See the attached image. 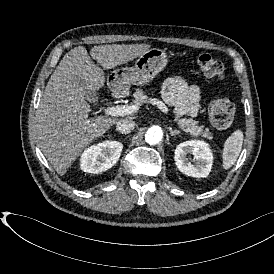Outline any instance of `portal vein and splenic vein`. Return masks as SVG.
<instances>
[{
	"label": "portal vein and splenic vein",
	"mask_w": 274,
	"mask_h": 274,
	"mask_svg": "<svg viewBox=\"0 0 274 274\" xmlns=\"http://www.w3.org/2000/svg\"><path fill=\"white\" fill-rule=\"evenodd\" d=\"M152 104H156L159 108L165 113H169V109L167 106L164 105L161 101H153ZM104 115L107 116H122V115H130L134 111H136L135 106H127V105H117V106H109V107H102L100 109Z\"/></svg>",
	"instance_id": "1"
}]
</instances>
